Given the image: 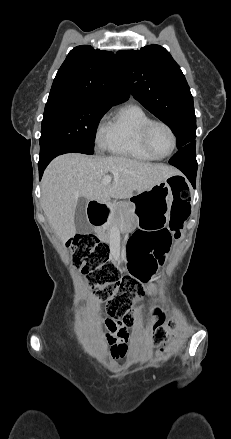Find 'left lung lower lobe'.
<instances>
[{
	"mask_svg": "<svg viewBox=\"0 0 231 439\" xmlns=\"http://www.w3.org/2000/svg\"><path fill=\"white\" fill-rule=\"evenodd\" d=\"M169 164L181 170L194 186L197 173L195 141H192L180 148L178 152L171 157Z\"/></svg>",
	"mask_w": 231,
	"mask_h": 439,
	"instance_id": "0a47b994",
	"label": "left lung lower lobe"
}]
</instances>
